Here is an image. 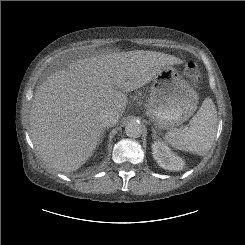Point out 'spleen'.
Wrapping results in <instances>:
<instances>
[{"mask_svg":"<svg viewBox=\"0 0 245 245\" xmlns=\"http://www.w3.org/2000/svg\"><path fill=\"white\" fill-rule=\"evenodd\" d=\"M216 131L217 111L212 99L208 97L190 120L189 127L171 129L164 138L178 150L204 155L212 147Z\"/></svg>","mask_w":245,"mask_h":245,"instance_id":"3e777b00","label":"spleen"}]
</instances>
